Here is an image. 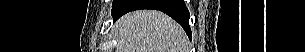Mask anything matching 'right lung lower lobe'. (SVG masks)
I'll list each match as a JSON object with an SVG mask.
<instances>
[{
  "mask_svg": "<svg viewBox=\"0 0 305 52\" xmlns=\"http://www.w3.org/2000/svg\"><path fill=\"white\" fill-rule=\"evenodd\" d=\"M137 9H157L175 19L191 38L189 12L183 0H114L112 14L114 20Z\"/></svg>",
  "mask_w": 305,
  "mask_h": 52,
  "instance_id": "obj_1",
  "label": "right lung lower lobe"
}]
</instances>
